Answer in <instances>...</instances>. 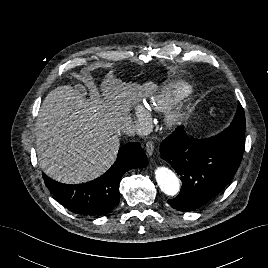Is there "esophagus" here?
<instances>
[{
  "mask_svg": "<svg viewBox=\"0 0 268 268\" xmlns=\"http://www.w3.org/2000/svg\"><path fill=\"white\" fill-rule=\"evenodd\" d=\"M146 152L149 156H152L154 153V145L150 141L146 143Z\"/></svg>",
  "mask_w": 268,
  "mask_h": 268,
  "instance_id": "34e87169",
  "label": "esophagus"
}]
</instances>
